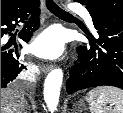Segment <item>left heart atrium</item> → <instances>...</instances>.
<instances>
[{"label":"left heart atrium","instance_id":"39dd6f15","mask_svg":"<svg viewBox=\"0 0 123 113\" xmlns=\"http://www.w3.org/2000/svg\"><path fill=\"white\" fill-rule=\"evenodd\" d=\"M31 51L42 58L54 59L64 50V39L56 29H48L40 34L31 44Z\"/></svg>","mask_w":123,"mask_h":113}]
</instances>
